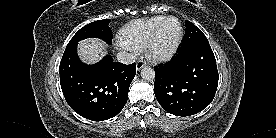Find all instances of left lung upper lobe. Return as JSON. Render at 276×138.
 Masks as SVG:
<instances>
[{"instance_id": "5c2ea615", "label": "left lung upper lobe", "mask_w": 276, "mask_h": 138, "mask_svg": "<svg viewBox=\"0 0 276 138\" xmlns=\"http://www.w3.org/2000/svg\"><path fill=\"white\" fill-rule=\"evenodd\" d=\"M201 42H208L206 36L193 23L186 21V34L180 47V51L187 49L191 45Z\"/></svg>"}]
</instances>
